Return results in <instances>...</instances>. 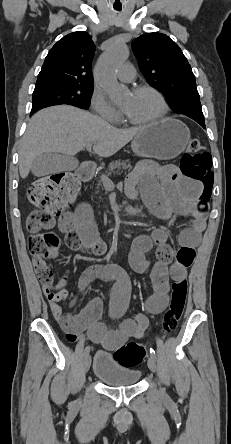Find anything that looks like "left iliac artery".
I'll use <instances>...</instances> for the list:
<instances>
[{"instance_id":"1","label":"left iliac artery","mask_w":231,"mask_h":444,"mask_svg":"<svg viewBox=\"0 0 231 444\" xmlns=\"http://www.w3.org/2000/svg\"><path fill=\"white\" fill-rule=\"evenodd\" d=\"M150 354L154 357H156L155 350L153 348H150Z\"/></svg>"}]
</instances>
